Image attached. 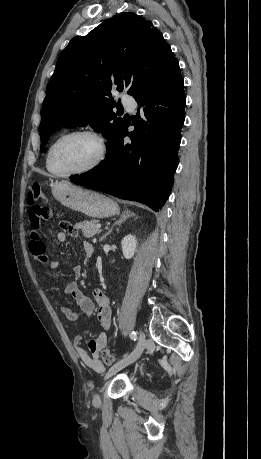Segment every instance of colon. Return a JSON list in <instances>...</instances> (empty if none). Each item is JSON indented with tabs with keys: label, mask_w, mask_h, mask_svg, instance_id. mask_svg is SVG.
<instances>
[{
	"label": "colon",
	"mask_w": 261,
	"mask_h": 459,
	"mask_svg": "<svg viewBox=\"0 0 261 459\" xmlns=\"http://www.w3.org/2000/svg\"><path fill=\"white\" fill-rule=\"evenodd\" d=\"M28 204L30 206L28 220V231L30 234H39L41 231V223L48 219L50 212L47 206L44 204L47 199L45 194L42 191L41 185L39 183H33L30 187L28 198ZM59 227L64 232L76 236L77 232L74 227L67 221H61ZM101 358L103 362L107 365L111 364L114 361V355L112 354L109 348H104L101 351Z\"/></svg>",
	"instance_id": "obj_1"
}]
</instances>
